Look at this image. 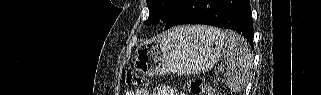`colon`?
<instances>
[{
  "label": "colon",
  "instance_id": "1",
  "mask_svg": "<svg viewBox=\"0 0 321 95\" xmlns=\"http://www.w3.org/2000/svg\"><path fill=\"white\" fill-rule=\"evenodd\" d=\"M122 80L129 86H148L150 81L142 76L137 75L131 70H123ZM185 89L191 94L201 95H219L215 89L199 79H191L185 83Z\"/></svg>",
  "mask_w": 321,
  "mask_h": 95
}]
</instances>
